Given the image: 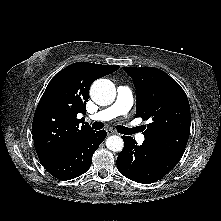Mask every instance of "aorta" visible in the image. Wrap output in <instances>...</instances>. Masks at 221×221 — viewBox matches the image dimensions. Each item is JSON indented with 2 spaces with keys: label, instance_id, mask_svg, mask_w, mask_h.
I'll use <instances>...</instances> for the list:
<instances>
[{
  "label": "aorta",
  "instance_id": "obj_1",
  "mask_svg": "<svg viewBox=\"0 0 221 221\" xmlns=\"http://www.w3.org/2000/svg\"><path fill=\"white\" fill-rule=\"evenodd\" d=\"M90 95L96 104L100 106H107L114 102L116 97V88L110 80L98 79L92 84ZM106 146L113 152H120L124 147V142L121 137L112 135L107 138Z\"/></svg>",
  "mask_w": 221,
  "mask_h": 221
}]
</instances>
